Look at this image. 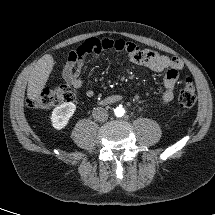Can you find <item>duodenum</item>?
Listing matches in <instances>:
<instances>
[{
    "label": "duodenum",
    "mask_w": 215,
    "mask_h": 215,
    "mask_svg": "<svg viewBox=\"0 0 215 215\" xmlns=\"http://www.w3.org/2000/svg\"><path fill=\"white\" fill-rule=\"evenodd\" d=\"M123 99V97L121 95H113L110 97H107L106 99H104L102 101L103 104H112V103H116L119 102Z\"/></svg>",
    "instance_id": "duodenum-1"
}]
</instances>
